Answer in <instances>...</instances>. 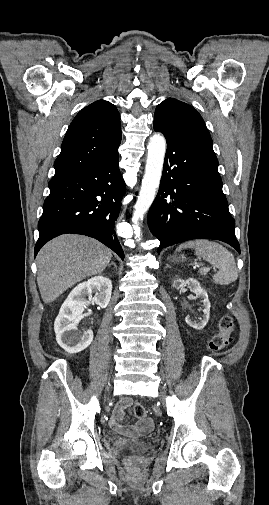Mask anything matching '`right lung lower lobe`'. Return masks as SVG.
<instances>
[{
    "label": "right lung lower lobe",
    "instance_id": "right-lung-lower-lobe-1",
    "mask_svg": "<svg viewBox=\"0 0 269 505\" xmlns=\"http://www.w3.org/2000/svg\"><path fill=\"white\" fill-rule=\"evenodd\" d=\"M118 163L116 151L75 170L54 175L38 223L39 239L34 256L54 237L73 233L99 240L124 259L113 231L120 200L126 191Z\"/></svg>",
    "mask_w": 269,
    "mask_h": 505
}]
</instances>
